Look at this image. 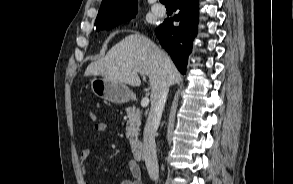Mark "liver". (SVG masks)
Here are the masks:
<instances>
[{
    "instance_id": "liver-1",
    "label": "liver",
    "mask_w": 293,
    "mask_h": 184,
    "mask_svg": "<svg viewBox=\"0 0 293 184\" xmlns=\"http://www.w3.org/2000/svg\"><path fill=\"white\" fill-rule=\"evenodd\" d=\"M133 71L149 77L151 95L163 81L174 85L182 80L171 58L148 37L139 33L126 36L105 57L90 63L85 76L101 75L132 86H140L138 72Z\"/></svg>"
}]
</instances>
